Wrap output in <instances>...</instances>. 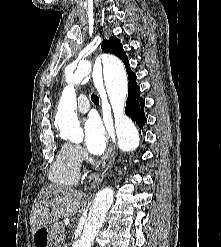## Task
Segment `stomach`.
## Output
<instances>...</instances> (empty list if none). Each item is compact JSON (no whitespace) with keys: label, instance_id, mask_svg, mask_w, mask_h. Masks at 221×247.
<instances>
[{"label":"stomach","instance_id":"1","mask_svg":"<svg viewBox=\"0 0 221 247\" xmlns=\"http://www.w3.org/2000/svg\"><path fill=\"white\" fill-rule=\"evenodd\" d=\"M52 228L45 226L37 229L32 234L33 247H52Z\"/></svg>","mask_w":221,"mask_h":247}]
</instances>
